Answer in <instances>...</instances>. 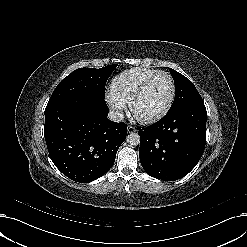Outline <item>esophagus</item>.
Here are the masks:
<instances>
[{
    "label": "esophagus",
    "instance_id": "1",
    "mask_svg": "<svg viewBox=\"0 0 247 247\" xmlns=\"http://www.w3.org/2000/svg\"><path fill=\"white\" fill-rule=\"evenodd\" d=\"M127 132H128L129 134L134 133V132H136V128L133 127V126H131V125H129V126L127 127Z\"/></svg>",
    "mask_w": 247,
    "mask_h": 247
}]
</instances>
